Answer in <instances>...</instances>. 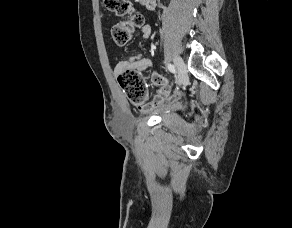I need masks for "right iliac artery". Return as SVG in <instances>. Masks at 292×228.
Returning <instances> with one entry per match:
<instances>
[{
    "mask_svg": "<svg viewBox=\"0 0 292 228\" xmlns=\"http://www.w3.org/2000/svg\"><path fill=\"white\" fill-rule=\"evenodd\" d=\"M167 68H168V70H169L170 72H172V73H174V74L177 72L175 66L172 65V64H168V65H167Z\"/></svg>",
    "mask_w": 292,
    "mask_h": 228,
    "instance_id": "obj_1",
    "label": "right iliac artery"
}]
</instances>
